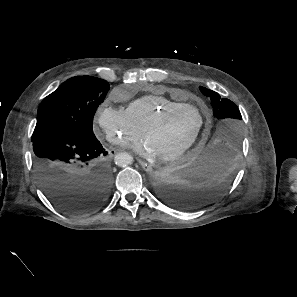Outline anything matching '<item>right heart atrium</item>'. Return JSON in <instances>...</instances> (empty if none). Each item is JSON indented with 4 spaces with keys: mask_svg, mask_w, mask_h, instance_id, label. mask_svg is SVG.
Segmentation results:
<instances>
[{
    "mask_svg": "<svg viewBox=\"0 0 297 297\" xmlns=\"http://www.w3.org/2000/svg\"><path fill=\"white\" fill-rule=\"evenodd\" d=\"M96 124L112 144L128 147L141 135V130L131 121L125 110L102 104L96 115Z\"/></svg>",
    "mask_w": 297,
    "mask_h": 297,
    "instance_id": "right-heart-atrium-1",
    "label": "right heart atrium"
}]
</instances>
